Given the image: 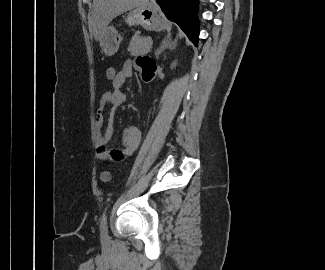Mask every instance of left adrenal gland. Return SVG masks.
<instances>
[{"label":"left adrenal gland","instance_id":"1","mask_svg":"<svg viewBox=\"0 0 325 270\" xmlns=\"http://www.w3.org/2000/svg\"><path fill=\"white\" fill-rule=\"evenodd\" d=\"M175 49L176 48V42H171L168 39H164L160 45V47L155 51V56L158 59L159 55L165 50V49Z\"/></svg>","mask_w":325,"mask_h":270}]
</instances>
